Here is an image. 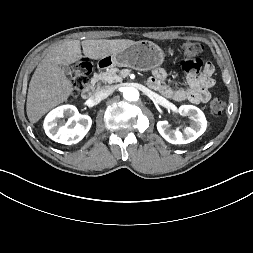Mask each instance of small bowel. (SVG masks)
<instances>
[{
  "label": "small bowel",
  "mask_w": 253,
  "mask_h": 253,
  "mask_svg": "<svg viewBox=\"0 0 253 253\" xmlns=\"http://www.w3.org/2000/svg\"><path fill=\"white\" fill-rule=\"evenodd\" d=\"M179 73L187 78L188 88H175L168 83L167 71L163 67L156 68L148 83L151 88L159 91L164 97L182 102L189 101L196 104L207 103L210 98V89L214 86L212 78V64H201L199 58L184 59L179 64ZM203 73L198 75V73Z\"/></svg>",
  "instance_id": "1"
}]
</instances>
